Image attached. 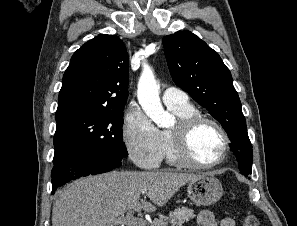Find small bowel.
Returning <instances> with one entry per match:
<instances>
[{"label": "small bowel", "mask_w": 297, "mask_h": 226, "mask_svg": "<svg viewBox=\"0 0 297 226\" xmlns=\"http://www.w3.org/2000/svg\"><path fill=\"white\" fill-rule=\"evenodd\" d=\"M197 223L199 226H235L234 220L230 217H225L217 223L212 212L207 210L201 211L198 214Z\"/></svg>", "instance_id": "1"}]
</instances>
